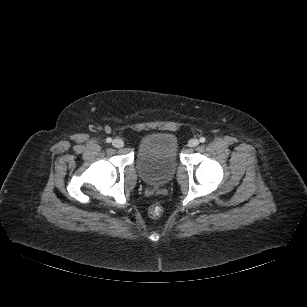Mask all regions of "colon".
Returning <instances> with one entry per match:
<instances>
[{"label":"colon","instance_id":"colon-1","mask_svg":"<svg viewBox=\"0 0 307 307\" xmlns=\"http://www.w3.org/2000/svg\"><path fill=\"white\" fill-rule=\"evenodd\" d=\"M162 212H163V209L159 204H153L149 208V215L153 218H158L159 216H161Z\"/></svg>","mask_w":307,"mask_h":307}]
</instances>
